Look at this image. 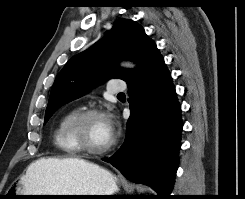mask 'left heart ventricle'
Listing matches in <instances>:
<instances>
[{"instance_id": "obj_1", "label": "left heart ventricle", "mask_w": 245, "mask_h": 199, "mask_svg": "<svg viewBox=\"0 0 245 199\" xmlns=\"http://www.w3.org/2000/svg\"><path fill=\"white\" fill-rule=\"evenodd\" d=\"M81 138L92 148H102L108 145L112 135L109 132L107 118L103 116L89 118L83 125Z\"/></svg>"}]
</instances>
